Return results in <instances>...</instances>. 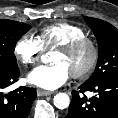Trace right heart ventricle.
Returning <instances> with one entry per match:
<instances>
[{
    "mask_svg": "<svg viewBox=\"0 0 118 118\" xmlns=\"http://www.w3.org/2000/svg\"><path fill=\"white\" fill-rule=\"evenodd\" d=\"M81 37H85V31L81 26L61 21L41 28L37 38L42 47L49 50Z\"/></svg>",
    "mask_w": 118,
    "mask_h": 118,
    "instance_id": "1",
    "label": "right heart ventricle"
}]
</instances>
